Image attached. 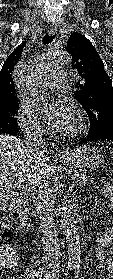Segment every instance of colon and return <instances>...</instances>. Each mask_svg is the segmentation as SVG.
Returning <instances> with one entry per match:
<instances>
[{"label":"colon","instance_id":"colon-1","mask_svg":"<svg viewBox=\"0 0 113 279\" xmlns=\"http://www.w3.org/2000/svg\"><path fill=\"white\" fill-rule=\"evenodd\" d=\"M4 222L0 219V236H3L4 232ZM14 252L9 244L0 243V273L3 270V265L6 261L14 260Z\"/></svg>","mask_w":113,"mask_h":279}]
</instances>
